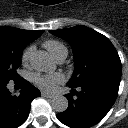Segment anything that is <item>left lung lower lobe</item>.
Returning a JSON list of instances; mask_svg holds the SVG:
<instances>
[{"label":"left lung lower lobe","instance_id":"left-lung-lower-lobe-1","mask_svg":"<svg viewBox=\"0 0 128 128\" xmlns=\"http://www.w3.org/2000/svg\"><path fill=\"white\" fill-rule=\"evenodd\" d=\"M121 76L96 74L80 85H69V106L57 114L63 124L72 128H89L100 122L113 106L119 89ZM79 88V92L75 88ZM75 95V97H73Z\"/></svg>","mask_w":128,"mask_h":128}]
</instances>
